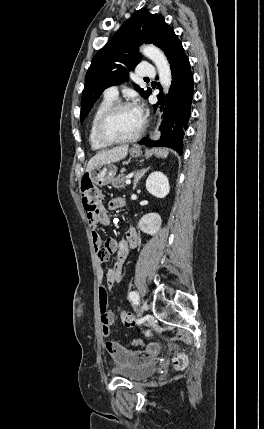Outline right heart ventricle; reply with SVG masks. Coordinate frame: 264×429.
Wrapping results in <instances>:
<instances>
[{"label": "right heart ventricle", "instance_id": "1", "mask_svg": "<svg viewBox=\"0 0 264 429\" xmlns=\"http://www.w3.org/2000/svg\"><path fill=\"white\" fill-rule=\"evenodd\" d=\"M114 99H110L105 97L95 108L89 124V143L93 150H102L108 147V145L100 142L96 136V124L100 116L103 114V112L111 105L113 104Z\"/></svg>", "mask_w": 264, "mask_h": 429}]
</instances>
